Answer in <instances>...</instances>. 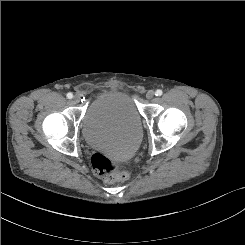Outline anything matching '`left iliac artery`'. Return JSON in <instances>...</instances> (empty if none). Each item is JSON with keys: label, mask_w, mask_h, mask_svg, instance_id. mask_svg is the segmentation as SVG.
<instances>
[{"label": "left iliac artery", "mask_w": 245, "mask_h": 245, "mask_svg": "<svg viewBox=\"0 0 245 245\" xmlns=\"http://www.w3.org/2000/svg\"><path fill=\"white\" fill-rule=\"evenodd\" d=\"M163 94L161 89L156 90L155 95L156 96H161Z\"/></svg>", "instance_id": "left-iliac-artery-1"}]
</instances>
